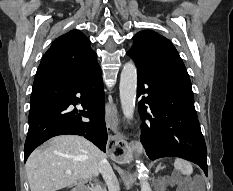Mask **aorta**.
<instances>
[{
  "label": "aorta",
  "instance_id": "1",
  "mask_svg": "<svg viewBox=\"0 0 233 191\" xmlns=\"http://www.w3.org/2000/svg\"><path fill=\"white\" fill-rule=\"evenodd\" d=\"M120 101L124 116L132 119L135 109L136 90H137V69L134 63L124 64L120 77ZM138 179L140 181L141 191H151L148 183L147 169L140 160H136Z\"/></svg>",
  "mask_w": 233,
  "mask_h": 191
}]
</instances>
